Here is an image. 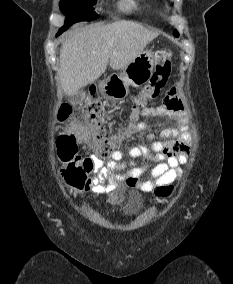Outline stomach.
I'll return each instance as SVG.
<instances>
[{
  "instance_id": "1",
  "label": "stomach",
  "mask_w": 233,
  "mask_h": 284,
  "mask_svg": "<svg viewBox=\"0 0 233 284\" xmlns=\"http://www.w3.org/2000/svg\"><path fill=\"white\" fill-rule=\"evenodd\" d=\"M153 52L145 50L126 65L119 74L110 75L100 84L103 95L112 100H122L129 86L140 87L150 80L153 72Z\"/></svg>"
}]
</instances>
